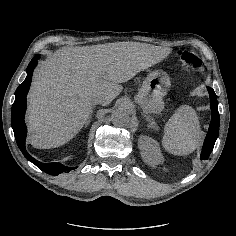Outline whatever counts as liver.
Returning <instances> with one entry per match:
<instances>
[{"instance_id":"1","label":"liver","mask_w":236,"mask_h":236,"mask_svg":"<svg viewBox=\"0 0 236 236\" xmlns=\"http://www.w3.org/2000/svg\"><path fill=\"white\" fill-rule=\"evenodd\" d=\"M170 48L141 42H116L59 49L37 70L28 97L29 141L37 148L59 147L90 120L92 104L117 97L120 85L145 69L150 57Z\"/></svg>"}]
</instances>
